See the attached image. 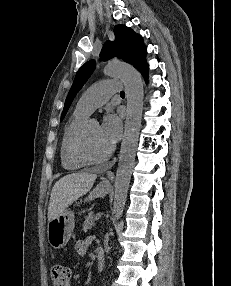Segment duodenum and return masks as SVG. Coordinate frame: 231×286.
Listing matches in <instances>:
<instances>
[{
	"label": "duodenum",
	"mask_w": 231,
	"mask_h": 286,
	"mask_svg": "<svg viewBox=\"0 0 231 286\" xmlns=\"http://www.w3.org/2000/svg\"><path fill=\"white\" fill-rule=\"evenodd\" d=\"M96 265H97V270L99 272L103 271L104 266H105V255L102 250L97 251Z\"/></svg>",
	"instance_id": "duodenum-1"
}]
</instances>
